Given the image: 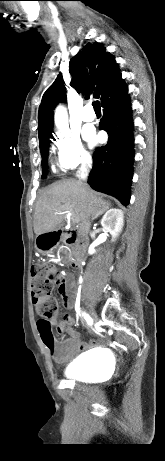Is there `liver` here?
Masks as SVG:
<instances>
[{
  "label": "liver",
  "mask_w": 165,
  "mask_h": 461,
  "mask_svg": "<svg viewBox=\"0 0 165 461\" xmlns=\"http://www.w3.org/2000/svg\"><path fill=\"white\" fill-rule=\"evenodd\" d=\"M110 202L80 180L68 179L52 184L39 198L35 207L34 232L40 236L62 226L67 213L78 223V233L86 235L91 219L103 214Z\"/></svg>",
  "instance_id": "1"
}]
</instances>
